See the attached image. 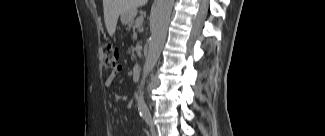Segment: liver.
<instances>
[{"instance_id": "liver-1", "label": "liver", "mask_w": 325, "mask_h": 136, "mask_svg": "<svg viewBox=\"0 0 325 136\" xmlns=\"http://www.w3.org/2000/svg\"><path fill=\"white\" fill-rule=\"evenodd\" d=\"M147 0H103L104 20L110 36H113L119 15L136 11L137 7L145 5Z\"/></svg>"}]
</instances>
